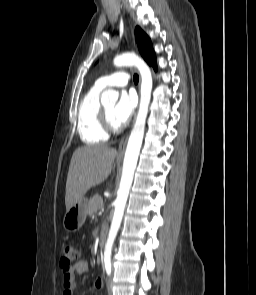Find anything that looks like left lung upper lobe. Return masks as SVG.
<instances>
[{
    "label": "left lung upper lobe",
    "instance_id": "5c2ea615",
    "mask_svg": "<svg viewBox=\"0 0 256 295\" xmlns=\"http://www.w3.org/2000/svg\"><path fill=\"white\" fill-rule=\"evenodd\" d=\"M135 37L142 57L149 65H156L155 53L153 51L151 41L148 36L140 29V27H136Z\"/></svg>",
    "mask_w": 256,
    "mask_h": 295
}]
</instances>
